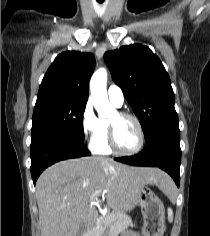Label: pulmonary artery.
<instances>
[{"mask_svg":"<svg viewBox=\"0 0 210 236\" xmlns=\"http://www.w3.org/2000/svg\"><path fill=\"white\" fill-rule=\"evenodd\" d=\"M109 100L117 107L122 106L124 102V94L121 88L117 85H111L107 91Z\"/></svg>","mask_w":210,"mask_h":236,"instance_id":"pulmonary-artery-1","label":"pulmonary artery"}]
</instances>
